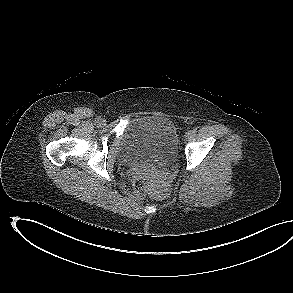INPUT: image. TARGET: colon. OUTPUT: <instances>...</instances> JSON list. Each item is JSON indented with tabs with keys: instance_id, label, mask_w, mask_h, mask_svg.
Returning a JSON list of instances; mask_svg holds the SVG:
<instances>
[{
	"instance_id": "5ec220e1",
	"label": "colon",
	"mask_w": 293,
	"mask_h": 293,
	"mask_svg": "<svg viewBox=\"0 0 293 293\" xmlns=\"http://www.w3.org/2000/svg\"><path fill=\"white\" fill-rule=\"evenodd\" d=\"M133 188L138 196H144L152 190V183L149 176L144 173L136 174L133 179Z\"/></svg>"
}]
</instances>
